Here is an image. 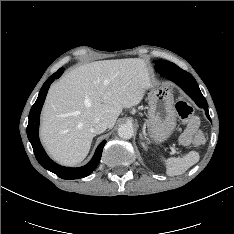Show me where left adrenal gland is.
Segmentation results:
<instances>
[{"label": "left adrenal gland", "instance_id": "1", "mask_svg": "<svg viewBox=\"0 0 234 234\" xmlns=\"http://www.w3.org/2000/svg\"><path fill=\"white\" fill-rule=\"evenodd\" d=\"M140 139L142 140L143 139V137H142V135L140 134ZM141 144H142V146L144 147V149H146L147 150V147L145 146V144L143 143V142H141Z\"/></svg>", "mask_w": 234, "mask_h": 234}]
</instances>
